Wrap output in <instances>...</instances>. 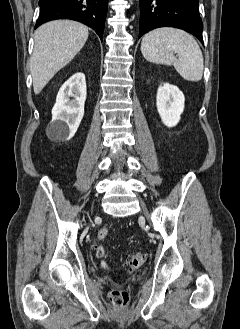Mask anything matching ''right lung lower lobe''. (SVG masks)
Instances as JSON below:
<instances>
[{"label": "right lung lower lobe", "instance_id": "obj_1", "mask_svg": "<svg viewBox=\"0 0 240 329\" xmlns=\"http://www.w3.org/2000/svg\"><path fill=\"white\" fill-rule=\"evenodd\" d=\"M35 28L56 19H71L91 27L102 39L108 0H39Z\"/></svg>", "mask_w": 240, "mask_h": 329}]
</instances>
